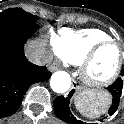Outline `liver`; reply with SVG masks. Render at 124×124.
<instances>
[{"label": "liver", "mask_w": 124, "mask_h": 124, "mask_svg": "<svg viewBox=\"0 0 124 124\" xmlns=\"http://www.w3.org/2000/svg\"><path fill=\"white\" fill-rule=\"evenodd\" d=\"M44 41L37 42V41H32L28 44L27 47V53H32V52H40L42 54H45L44 52Z\"/></svg>", "instance_id": "1"}]
</instances>
